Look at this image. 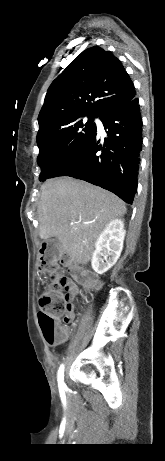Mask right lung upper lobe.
<instances>
[{"mask_svg": "<svg viewBox=\"0 0 165 461\" xmlns=\"http://www.w3.org/2000/svg\"><path fill=\"white\" fill-rule=\"evenodd\" d=\"M134 89L117 57L97 46L88 48L50 85L38 116L37 137L75 117H101L132 100Z\"/></svg>", "mask_w": 165, "mask_h": 461, "instance_id": "1", "label": "right lung upper lobe"}]
</instances>
